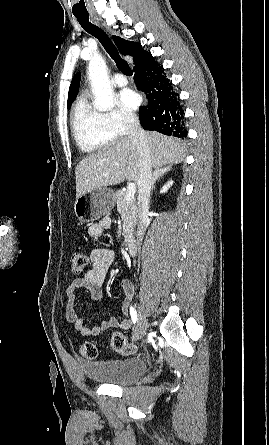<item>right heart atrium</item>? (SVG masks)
Listing matches in <instances>:
<instances>
[{"mask_svg":"<svg viewBox=\"0 0 269 445\" xmlns=\"http://www.w3.org/2000/svg\"><path fill=\"white\" fill-rule=\"evenodd\" d=\"M104 119L115 137L128 133L137 122L136 116L124 108H114L104 113Z\"/></svg>","mask_w":269,"mask_h":445,"instance_id":"1","label":"right heart atrium"}]
</instances>
